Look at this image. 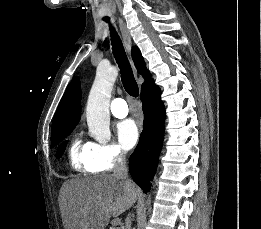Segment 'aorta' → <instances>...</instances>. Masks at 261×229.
<instances>
[{
  "label": "aorta",
  "mask_w": 261,
  "mask_h": 229,
  "mask_svg": "<svg viewBox=\"0 0 261 229\" xmlns=\"http://www.w3.org/2000/svg\"><path fill=\"white\" fill-rule=\"evenodd\" d=\"M118 70V66H97L96 78L89 92L86 108L87 125L91 135L109 133L110 96Z\"/></svg>",
  "instance_id": "aorta-1"
}]
</instances>
